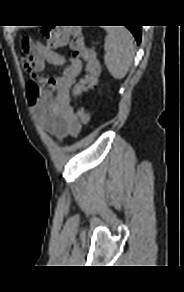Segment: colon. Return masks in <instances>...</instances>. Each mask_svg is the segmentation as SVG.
<instances>
[{
  "label": "colon",
  "mask_w": 184,
  "mask_h": 292,
  "mask_svg": "<svg viewBox=\"0 0 184 292\" xmlns=\"http://www.w3.org/2000/svg\"><path fill=\"white\" fill-rule=\"evenodd\" d=\"M48 48L57 49L69 44L73 58L83 60L86 63L85 76L74 86L72 94L74 97L83 92L96 87L100 74V64L97 59L96 51L85 45V41L78 25L55 26L42 29ZM28 44L27 38L23 41ZM77 117L83 124H89L91 116L84 108L77 110Z\"/></svg>",
  "instance_id": "5ec220e1"
}]
</instances>
